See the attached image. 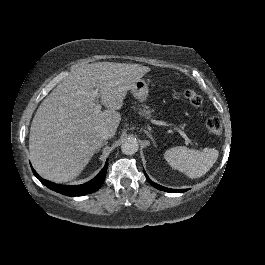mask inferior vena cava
I'll list each match as a JSON object with an SVG mask.
<instances>
[{
    "instance_id": "1",
    "label": "inferior vena cava",
    "mask_w": 265,
    "mask_h": 265,
    "mask_svg": "<svg viewBox=\"0 0 265 265\" xmlns=\"http://www.w3.org/2000/svg\"><path fill=\"white\" fill-rule=\"evenodd\" d=\"M99 136L101 139L106 140L108 138H111L113 136V131L110 129H104L100 131Z\"/></svg>"
}]
</instances>
